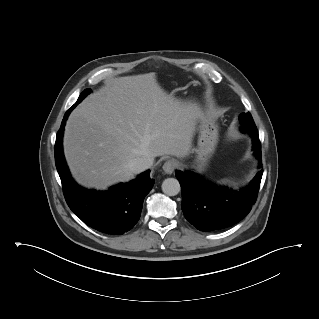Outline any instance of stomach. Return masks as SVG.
Wrapping results in <instances>:
<instances>
[{
  "label": "stomach",
  "instance_id": "stomach-1",
  "mask_svg": "<svg viewBox=\"0 0 319 319\" xmlns=\"http://www.w3.org/2000/svg\"><path fill=\"white\" fill-rule=\"evenodd\" d=\"M186 103L194 106L199 112V115L197 116V121L199 123L198 147L194 151L196 153V169L201 172L205 169L217 146L219 126L214 117L203 111L198 104L191 101Z\"/></svg>",
  "mask_w": 319,
  "mask_h": 319
}]
</instances>
